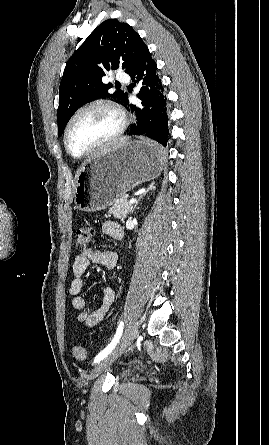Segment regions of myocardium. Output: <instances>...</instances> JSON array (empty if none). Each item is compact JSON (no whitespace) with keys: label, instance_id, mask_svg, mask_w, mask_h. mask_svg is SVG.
<instances>
[{"label":"myocardium","instance_id":"myocardium-1","mask_svg":"<svg viewBox=\"0 0 269 445\" xmlns=\"http://www.w3.org/2000/svg\"><path fill=\"white\" fill-rule=\"evenodd\" d=\"M96 107L106 108V109L110 110L111 112H113L118 118V121H119L118 127L111 136H109L105 140L101 141L99 144H97L93 148L89 149L88 151H86L80 155H76L71 152V150L68 146V134H69L70 128H71L73 122L76 120V118L80 114H82L83 112L88 111L92 108H96ZM127 125H128L127 117H126L124 111L117 104H115L114 102L107 100V99H97V100L91 101V102L81 106L80 108H78L71 115L69 120L67 121V123L65 125V129H64V133H63L64 148H65L67 154L70 155L74 159H83V158L89 157V156L101 151L102 149L106 148L107 146H109L110 144L115 142L116 140H118L122 136V134L125 132Z\"/></svg>","mask_w":269,"mask_h":445}]
</instances>
